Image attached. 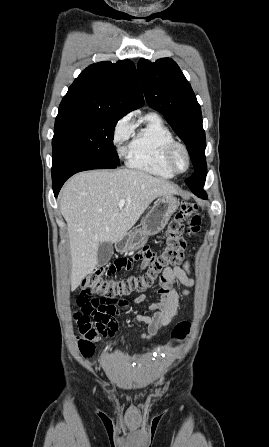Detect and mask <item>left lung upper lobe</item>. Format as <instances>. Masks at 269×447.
Returning <instances> with one entry per match:
<instances>
[{
    "label": "left lung upper lobe",
    "instance_id": "1",
    "mask_svg": "<svg viewBox=\"0 0 269 447\" xmlns=\"http://www.w3.org/2000/svg\"><path fill=\"white\" fill-rule=\"evenodd\" d=\"M137 69L148 105L164 115L188 148L195 171L186 184L191 190L203 187L207 175L206 139L201 108L189 82L170 58L154 63L141 59Z\"/></svg>",
    "mask_w": 269,
    "mask_h": 447
}]
</instances>
